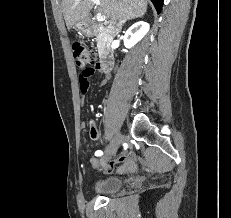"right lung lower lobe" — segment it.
<instances>
[{"label": "right lung lower lobe", "mask_w": 231, "mask_h": 218, "mask_svg": "<svg viewBox=\"0 0 231 218\" xmlns=\"http://www.w3.org/2000/svg\"><path fill=\"white\" fill-rule=\"evenodd\" d=\"M151 1L153 2L157 12L160 13L164 0H151Z\"/></svg>", "instance_id": "right-lung-lower-lobe-1"}]
</instances>
